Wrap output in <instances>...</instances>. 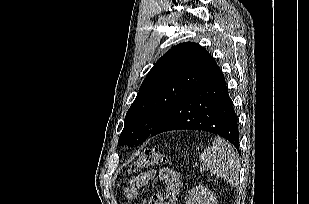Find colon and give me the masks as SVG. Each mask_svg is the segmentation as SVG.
Returning a JSON list of instances; mask_svg holds the SVG:
<instances>
[{"mask_svg": "<svg viewBox=\"0 0 309 204\" xmlns=\"http://www.w3.org/2000/svg\"><path fill=\"white\" fill-rule=\"evenodd\" d=\"M167 161V155L158 147L146 149L131 167L132 173L141 172L154 165L162 164Z\"/></svg>", "mask_w": 309, "mask_h": 204, "instance_id": "colon-1", "label": "colon"}]
</instances>
